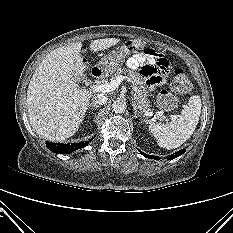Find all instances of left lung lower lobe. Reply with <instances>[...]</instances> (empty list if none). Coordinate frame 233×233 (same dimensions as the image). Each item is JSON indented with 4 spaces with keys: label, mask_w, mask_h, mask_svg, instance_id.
<instances>
[{
    "label": "left lung lower lobe",
    "mask_w": 233,
    "mask_h": 233,
    "mask_svg": "<svg viewBox=\"0 0 233 233\" xmlns=\"http://www.w3.org/2000/svg\"><path fill=\"white\" fill-rule=\"evenodd\" d=\"M185 151H186L185 149H181L180 151L175 152L174 154L169 155L168 160H172V159H174V158H176V157L182 155ZM140 152H141V151H140ZM141 154H142L143 156H145L146 158H151V159L159 160V157H158V156L147 155V154H145V153H143V152H141Z\"/></svg>",
    "instance_id": "left-lung-lower-lobe-1"
}]
</instances>
